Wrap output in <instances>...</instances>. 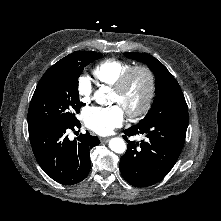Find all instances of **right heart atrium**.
<instances>
[{"label":"right heart atrium","instance_id":"d8ad5b80","mask_svg":"<svg viewBox=\"0 0 221 221\" xmlns=\"http://www.w3.org/2000/svg\"><path fill=\"white\" fill-rule=\"evenodd\" d=\"M77 91L81 102L87 104L91 101L93 85L87 76H81L77 82Z\"/></svg>","mask_w":221,"mask_h":221}]
</instances>
